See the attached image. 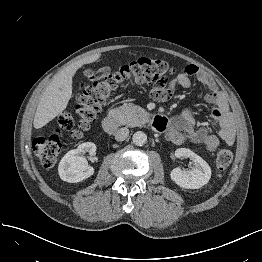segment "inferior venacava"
I'll use <instances>...</instances> for the list:
<instances>
[{"instance_id":"obj_1","label":"inferior vena cava","mask_w":262,"mask_h":262,"mask_svg":"<svg viewBox=\"0 0 262 262\" xmlns=\"http://www.w3.org/2000/svg\"><path fill=\"white\" fill-rule=\"evenodd\" d=\"M129 135V129L126 127L120 128L115 133V139L117 141H124Z\"/></svg>"}]
</instances>
